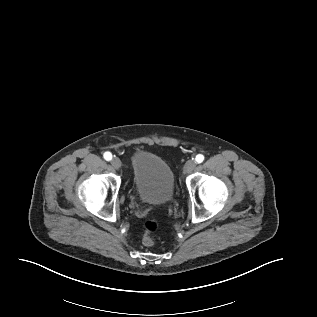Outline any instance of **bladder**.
<instances>
[{
	"instance_id": "bladder-1",
	"label": "bladder",
	"mask_w": 317,
	"mask_h": 317,
	"mask_svg": "<svg viewBox=\"0 0 317 317\" xmlns=\"http://www.w3.org/2000/svg\"><path fill=\"white\" fill-rule=\"evenodd\" d=\"M133 182L139 198L148 204L162 205L172 200L175 175L161 157L147 151L131 157Z\"/></svg>"
}]
</instances>
